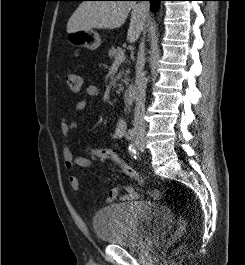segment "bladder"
<instances>
[{"mask_svg":"<svg viewBox=\"0 0 245 265\" xmlns=\"http://www.w3.org/2000/svg\"><path fill=\"white\" fill-rule=\"evenodd\" d=\"M170 224L167 209L147 200L107 205L92 219V228L100 240L128 248H139L161 237Z\"/></svg>","mask_w":245,"mask_h":265,"instance_id":"31cf9c89","label":"bladder"}]
</instances>
